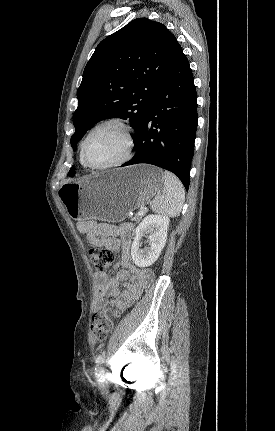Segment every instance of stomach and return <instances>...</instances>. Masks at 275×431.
<instances>
[{
	"instance_id": "obj_1",
	"label": "stomach",
	"mask_w": 275,
	"mask_h": 431,
	"mask_svg": "<svg viewBox=\"0 0 275 431\" xmlns=\"http://www.w3.org/2000/svg\"><path fill=\"white\" fill-rule=\"evenodd\" d=\"M162 171L140 164L114 169L77 182L66 181L58 195L69 216L78 221L120 222L160 192Z\"/></svg>"
}]
</instances>
